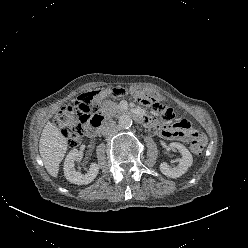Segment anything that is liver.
Instances as JSON below:
<instances>
[{
    "instance_id": "1",
    "label": "liver",
    "mask_w": 248,
    "mask_h": 248,
    "mask_svg": "<svg viewBox=\"0 0 248 248\" xmlns=\"http://www.w3.org/2000/svg\"><path fill=\"white\" fill-rule=\"evenodd\" d=\"M68 142L61 131L48 122L41 134L39 141V152L47 172L57 177L59 164L67 151Z\"/></svg>"
}]
</instances>
